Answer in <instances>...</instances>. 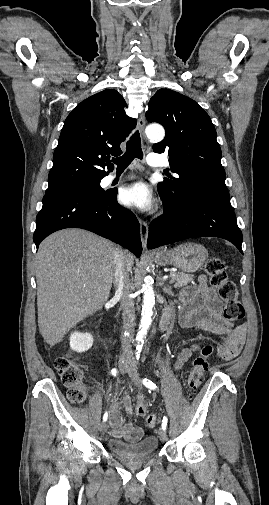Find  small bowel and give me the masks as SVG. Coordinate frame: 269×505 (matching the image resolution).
<instances>
[{
    "label": "small bowel",
    "mask_w": 269,
    "mask_h": 505,
    "mask_svg": "<svg viewBox=\"0 0 269 505\" xmlns=\"http://www.w3.org/2000/svg\"><path fill=\"white\" fill-rule=\"evenodd\" d=\"M182 307L179 322L182 326L204 331L223 338L217 355L222 360H231L241 351L244 343L246 326L232 328L222 316V303L216 296L204 276H201L195 288L186 289L181 295ZM198 349V345L184 348L178 355L175 368L180 369ZM120 404L128 415H132V405L128 395L123 394ZM110 425L115 438L134 442L141 438L142 428L133 424H124L119 403H113L110 409Z\"/></svg>",
    "instance_id": "c3829d8e"
}]
</instances>
